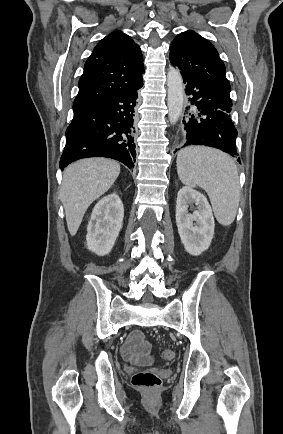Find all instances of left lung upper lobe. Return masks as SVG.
<instances>
[{
    "instance_id": "left-lung-upper-lobe-1",
    "label": "left lung upper lobe",
    "mask_w": 283,
    "mask_h": 434,
    "mask_svg": "<svg viewBox=\"0 0 283 434\" xmlns=\"http://www.w3.org/2000/svg\"><path fill=\"white\" fill-rule=\"evenodd\" d=\"M169 59L181 71L230 92L225 65L218 51L199 34L190 30L178 34L170 45Z\"/></svg>"
}]
</instances>
